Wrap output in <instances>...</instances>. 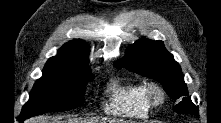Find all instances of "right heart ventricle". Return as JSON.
I'll return each instance as SVG.
<instances>
[{
  "mask_svg": "<svg viewBox=\"0 0 221 123\" xmlns=\"http://www.w3.org/2000/svg\"><path fill=\"white\" fill-rule=\"evenodd\" d=\"M105 110L113 115L146 118L150 105L144 95V85L136 81L115 80L110 88V99Z\"/></svg>",
  "mask_w": 221,
  "mask_h": 123,
  "instance_id": "e07e8e85",
  "label": "right heart ventricle"
}]
</instances>
